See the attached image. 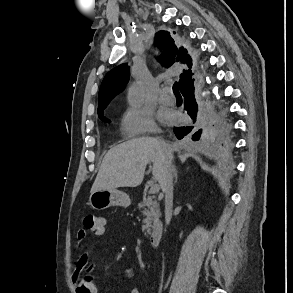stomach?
I'll list each match as a JSON object with an SVG mask.
<instances>
[{
	"label": "stomach",
	"instance_id": "obj_1",
	"mask_svg": "<svg viewBox=\"0 0 293 293\" xmlns=\"http://www.w3.org/2000/svg\"><path fill=\"white\" fill-rule=\"evenodd\" d=\"M93 209L104 210L111 206L128 207L131 204L129 196L122 191L98 190L91 193L89 198Z\"/></svg>",
	"mask_w": 293,
	"mask_h": 293
}]
</instances>
